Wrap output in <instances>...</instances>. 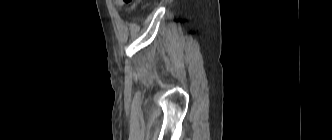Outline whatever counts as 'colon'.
I'll return each mask as SVG.
<instances>
[{"label": "colon", "mask_w": 332, "mask_h": 140, "mask_svg": "<svg viewBox=\"0 0 332 140\" xmlns=\"http://www.w3.org/2000/svg\"><path fill=\"white\" fill-rule=\"evenodd\" d=\"M115 3L118 6H124V5H129V4H137L139 3L141 0H114Z\"/></svg>", "instance_id": "colon-1"}]
</instances>
